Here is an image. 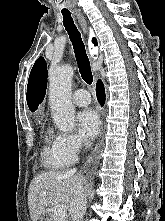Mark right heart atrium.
Returning a JSON list of instances; mask_svg holds the SVG:
<instances>
[{
    "label": "right heart atrium",
    "mask_w": 165,
    "mask_h": 221,
    "mask_svg": "<svg viewBox=\"0 0 165 221\" xmlns=\"http://www.w3.org/2000/svg\"><path fill=\"white\" fill-rule=\"evenodd\" d=\"M57 142L59 151L73 161L86 146L83 138L77 134H60L57 136Z\"/></svg>",
    "instance_id": "d8ad5b80"
}]
</instances>
